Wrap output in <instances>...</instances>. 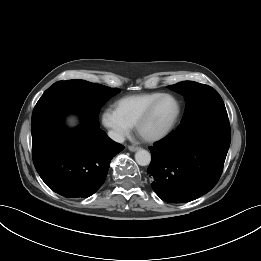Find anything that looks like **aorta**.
Segmentation results:
<instances>
[{"label": "aorta", "mask_w": 261, "mask_h": 261, "mask_svg": "<svg viewBox=\"0 0 261 261\" xmlns=\"http://www.w3.org/2000/svg\"><path fill=\"white\" fill-rule=\"evenodd\" d=\"M135 160L140 166H147L151 162V154L144 149H140L135 154Z\"/></svg>", "instance_id": "1"}]
</instances>
